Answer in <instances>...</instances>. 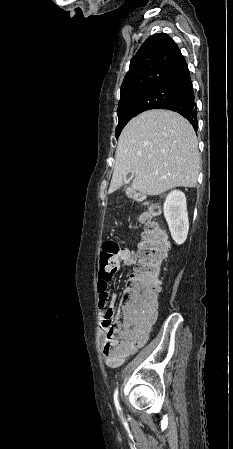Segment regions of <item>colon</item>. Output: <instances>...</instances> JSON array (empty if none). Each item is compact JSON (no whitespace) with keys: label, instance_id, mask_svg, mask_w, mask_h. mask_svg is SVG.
Instances as JSON below:
<instances>
[{"label":"colon","instance_id":"1","mask_svg":"<svg viewBox=\"0 0 233 449\" xmlns=\"http://www.w3.org/2000/svg\"><path fill=\"white\" fill-rule=\"evenodd\" d=\"M134 198L146 207V213L141 219L145 225V232L138 252L139 265L130 276L129 284L123 293L122 319H116L111 310L104 315L106 341L103 355L110 364L123 362L127 346L133 341L138 330V323L143 321L144 324L151 317H156L160 267L168 249L166 234L159 224L152 220V216L160 212L159 205L138 197ZM128 255V251L114 240L103 244L100 257L99 293H107L110 281L108 271L117 266L121 256ZM119 337L125 339L124 345L119 343Z\"/></svg>","mask_w":233,"mask_h":449}]
</instances>
